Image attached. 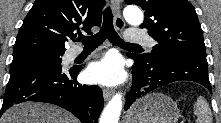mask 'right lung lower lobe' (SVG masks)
<instances>
[{
  "mask_svg": "<svg viewBox=\"0 0 221 123\" xmlns=\"http://www.w3.org/2000/svg\"><path fill=\"white\" fill-rule=\"evenodd\" d=\"M79 71L52 64L11 70L1 110L26 101L46 102L70 111L82 123H96L104 106L103 93L98 86L80 85Z\"/></svg>",
  "mask_w": 221,
  "mask_h": 123,
  "instance_id": "1",
  "label": "right lung lower lobe"
}]
</instances>
